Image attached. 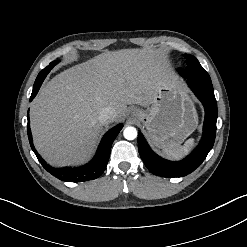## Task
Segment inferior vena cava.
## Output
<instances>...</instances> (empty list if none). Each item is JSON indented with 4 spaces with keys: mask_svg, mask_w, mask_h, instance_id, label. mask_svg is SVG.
Here are the masks:
<instances>
[{
    "mask_svg": "<svg viewBox=\"0 0 247 247\" xmlns=\"http://www.w3.org/2000/svg\"><path fill=\"white\" fill-rule=\"evenodd\" d=\"M115 117L116 112L112 108L106 107L100 111L98 119L102 125H107L113 122L115 120Z\"/></svg>",
    "mask_w": 247,
    "mask_h": 247,
    "instance_id": "602c4592",
    "label": "inferior vena cava"
}]
</instances>
